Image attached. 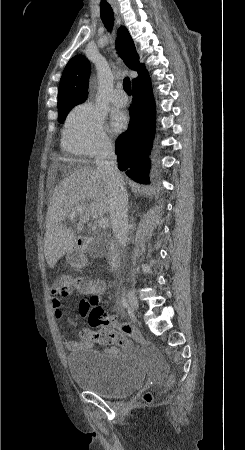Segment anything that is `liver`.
I'll list each match as a JSON object with an SVG mask.
<instances>
[{
  "mask_svg": "<svg viewBox=\"0 0 245 450\" xmlns=\"http://www.w3.org/2000/svg\"><path fill=\"white\" fill-rule=\"evenodd\" d=\"M87 206L80 216L76 230L63 224L76 206ZM110 212L109 195L102 175L91 167H81L70 172L55 187L46 214L44 254L53 268L57 261L75 246L77 234L90 216L102 218Z\"/></svg>",
  "mask_w": 245,
  "mask_h": 450,
  "instance_id": "1",
  "label": "liver"
}]
</instances>
